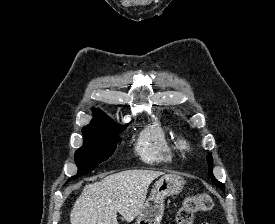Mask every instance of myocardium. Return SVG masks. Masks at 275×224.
<instances>
[{"label":"myocardium","instance_id":"myocardium-1","mask_svg":"<svg viewBox=\"0 0 275 224\" xmlns=\"http://www.w3.org/2000/svg\"><path fill=\"white\" fill-rule=\"evenodd\" d=\"M177 146L179 149L183 150V151H187L190 149V144L187 140L180 138L177 141Z\"/></svg>","mask_w":275,"mask_h":224}]
</instances>
